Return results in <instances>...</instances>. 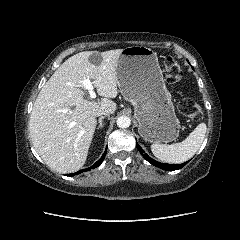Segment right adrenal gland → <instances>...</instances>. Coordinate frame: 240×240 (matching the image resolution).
Here are the masks:
<instances>
[{
    "label": "right adrenal gland",
    "instance_id": "2a0ac1e0",
    "mask_svg": "<svg viewBox=\"0 0 240 240\" xmlns=\"http://www.w3.org/2000/svg\"><path fill=\"white\" fill-rule=\"evenodd\" d=\"M104 118H105V116H101V117L99 118V120H98L99 125H98V128H97V129H101V128L104 127V124L102 123V121H103Z\"/></svg>",
    "mask_w": 240,
    "mask_h": 240
}]
</instances>
